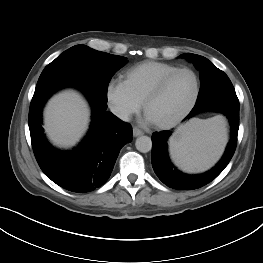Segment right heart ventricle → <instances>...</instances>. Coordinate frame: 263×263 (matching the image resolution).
<instances>
[{"mask_svg":"<svg viewBox=\"0 0 263 263\" xmlns=\"http://www.w3.org/2000/svg\"><path fill=\"white\" fill-rule=\"evenodd\" d=\"M178 69L177 66L157 62L147 61L135 65L123 74V81L131 94L143 103L148 93L167 74Z\"/></svg>","mask_w":263,"mask_h":263,"instance_id":"e07e8e85","label":"right heart ventricle"}]
</instances>
